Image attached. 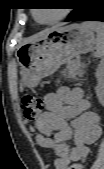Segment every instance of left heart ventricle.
Segmentation results:
<instances>
[{
	"label": "left heart ventricle",
	"mask_w": 104,
	"mask_h": 169,
	"mask_svg": "<svg viewBox=\"0 0 104 169\" xmlns=\"http://www.w3.org/2000/svg\"><path fill=\"white\" fill-rule=\"evenodd\" d=\"M58 9H41L36 11V16L41 21H49L59 14Z\"/></svg>",
	"instance_id": "b2bd125f"
}]
</instances>
